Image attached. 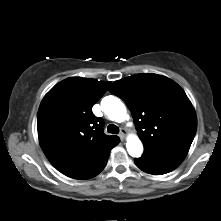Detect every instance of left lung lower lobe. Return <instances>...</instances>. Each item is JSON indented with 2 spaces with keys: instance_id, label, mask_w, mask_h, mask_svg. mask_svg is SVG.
<instances>
[{
  "instance_id": "left-lung-lower-lobe-1",
  "label": "left lung lower lobe",
  "mask_w": 221,
  "mask_h": 221,
  "mask_svg": "<svg viewBox=\"0 0 221 221\" xmlns=\"http://www.w3.org/2000/svg\"><path fill=\"white\" fill-rule=\"evenodd\" d=\"M188 150L172 149L160 152L144 151L140 158L135 159V164L142 171L162 175L174 170L185 158Z\"/></svg>"
}]
</instances>
